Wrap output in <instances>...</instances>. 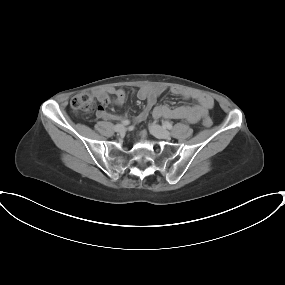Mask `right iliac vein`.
I'll list each match as a JSON object with an SVG mask.
<instances>
[{"instance_id":"63e3f726","label":"right iliac vein","mask_w":285,"mask_h":285,"mask_svg":"<svg viewBox=\"0 0 285 285\" xmlns=\"http://www.w3.org/2000/svg\"><path fill=\"white\" fill-rule=\"evenodd\" d=\"M114 129L118 133H124L126 131V127L121 124H117Z\"/></svg>"}]
</instances>
